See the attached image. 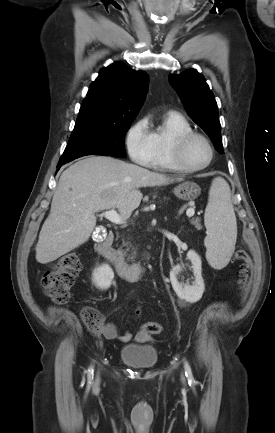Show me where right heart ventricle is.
Segmentation results:
<instances>
[{"label": "right heart ventricle", "instance_id": "e07e8e85", "mask_svg": "<svg viewBox=\"0 0 275 433\" xmlns=\"http://www.w3.org/2000/svg\"><path fill=\"white\" fill-rule=\"evenodd\" d=\"M190 131L193 128L184 116L177 112L166 113L150 130L152 155L148 166L162 171H179L172 161V144L178 136Z\"/></svg>", "mask_w": 275, "mask_h": 433}]
</instances>
